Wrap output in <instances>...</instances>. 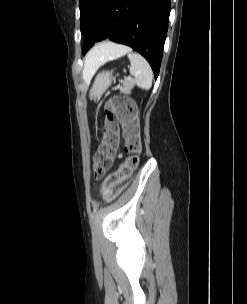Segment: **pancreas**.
<instances>
[{
    "mask_svg": "<svg viewBox=\"0 0 247 304\" xmlns=\"http://www.w3.org/2000/svg\"><path fill=\"white\" fill-rule=\"evenodd\" d=\"M132 87H133V80L125 79L123 81V86L119 87V90L121 93H129Z\"/></svg>",
    "mask_w": 247,
    "mask_h": 304,
    "instance_id": "1",
    "label": "pancreas"
}]
</instances>
